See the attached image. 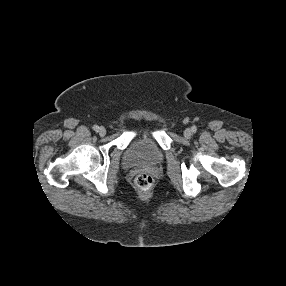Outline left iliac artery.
Masks as SVG:
<instances>
[{
	"mask_svg": "<svg viewBox=\"0 0 286 286\" xmlns=\"http://www.w3.org/2000/svg\"><path fill=\"white\" fill-rule=\"evenodd\" d=\"M196 130H197L196 126H193V127H192V131L195 133Z\"/></svg>",
	"mask_w": 286,
	"mask_h": 286,
	"instance_id": "obj_1",
	"label": "left iliac artery"
}]
</instances>
